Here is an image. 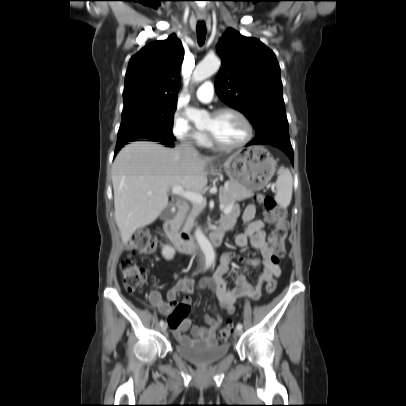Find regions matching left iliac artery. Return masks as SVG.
<instances>
[{
	"mask_svg": "<svg viewBox=\"0 0 406 406\" xmlns=\"http://www.w3.org/2000/svg\"><path fill=\"white\" fill-rule=\"evenodd\" d=\"M236 327H237V329H242V324L238 323Z\"/></svg>",
	"mask_w": 406,
	"mask_h": 406,
	"instance_id": "1",
	"label": "left iliac artery"
}]
</instances>
